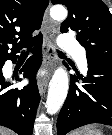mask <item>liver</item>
<instances>
[{
  "instance_id": "6515ba94",
  "label": "liver",
  "mask_w": 112,
  "mask_h": 135,
  "mask_svg": "<svg viewBox=\"0 0 112 135\" xmlns=\"http://www.w3.org/2000/svg\"><path fill=\"white\" fill-rule=\"evenodd\" d=\"M0 135H14V133L0 126Z\"/></svg>"
}]
</instances>
